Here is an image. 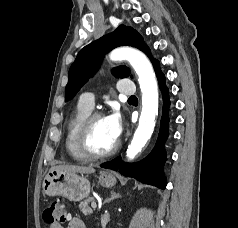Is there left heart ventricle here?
Wrapping results in <instances>:
<instances>
[{
  "mask_svg": "<svg viewBox=\"0 0 238 228\" xmlns=\"http://www.w3.org/2000/svg\"><path fill=\"white\" fill-rule=\"evenodd\" d=\"M117 139L111 134L106 118L96 120L91 133V147L95 152L103 153L111 149Z\"/></svg>",
  "mask_w": 238,
  "mask_h": 228,
  "instance_id": "b2bd125f",
  "label": "left heart ventricle"
}]
</instances>
